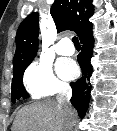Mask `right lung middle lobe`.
Here are the masks:
<instances>
[{
  "mask_svg": "<svg viewBox=\"0 0 117 131\" xmlns=\"http://www.w3.org/2000/svg\"><path fill=\"white\" fill-rule=\"evenodd\" d=\"M28 65L18 67L13 70V79H12V93H11V101L14 103L16 99H26L29 95L27 94L24 86H23V73Z\"/></svg>",
  "mask_w": 117,
  "mask_h": 131,
  "instance_id": "right-lung-middle-lobe-1",
  "label": "right lung middle lobe"
}]
</instances>
